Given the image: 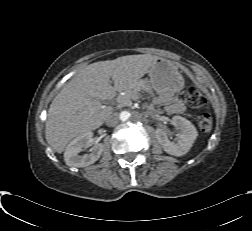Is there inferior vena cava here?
Instances as JSON below:
<instances>
[{"label":"inferior vena cava","instance_id":"inferior-vena-cava-1","mask_svg":"<svg viewBox=\"0 0 252 231\" xmlns=\"http://www.w3.org/2000/svg\"><path fill=\"white\" fill-rule=\"evenodd\" d=\"M119 122V116L117 113L110 114L106 119L105 123L107 126H116Z\"/></svg>","mask_w":252,"mask_h":231}]
</instances>
